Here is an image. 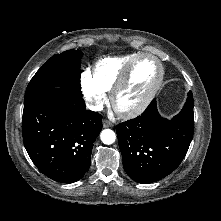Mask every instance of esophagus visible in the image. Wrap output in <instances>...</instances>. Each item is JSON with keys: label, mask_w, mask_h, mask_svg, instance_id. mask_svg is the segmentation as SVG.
Segmentation results:
<instances>
[{"label": "esophagus", "mask_w": 221, "mask_h": 221, "mask_svg": "<svg viewBox=\"0 0 221 221\" xmlns=\"http://www.w3.org/2000/svg\"><path fill=\"white\" fill-rule=\"evenodd\" d=\"M111 126H112V123L109 120H107V119L103 120V127L104 128H108V127H111Z\"/></svg>", "instance_id": "34e87169"}]
</instances>
